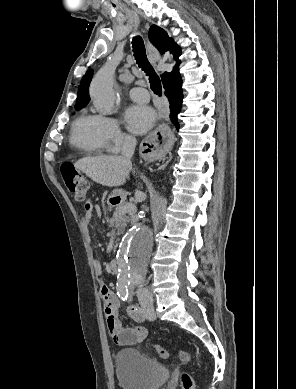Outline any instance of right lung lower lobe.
<instances>
[{"label": "right lung lower lobe", "instance_id": "right-lung-lower-lobe-1", "mask_svg": "<svg viewBox=\"0 0 296 389\" xmlns=\"http://www.w3.org/2000/svg\"><path fill=\"white\" fill-rule=\"evenodd\" d=\"M165 89V95L167 96L170 103V118L177 130H179V123L177 115L180 112L182 105V80L180 75H174L163 82Z\"/></svg>", "mask_w": 296, "mask_h": 389}]
</instances>
